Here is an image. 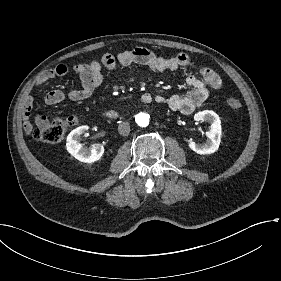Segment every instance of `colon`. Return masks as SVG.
<instances>
[{
	"label": "colon",
	"instance_id": "1",
	"mask_svg": "<svg viewBox=\"0 0 281 281\" xmlns=\"http://www.w3.org/2000/svg\"><path fill=\"white\" fill-rule=\"evenodd\" d=\"M226 104L232 109H238L241 106V102L237 98H227ZM68 124V118L58 117L42 125L26 124V131L38 141L53 144L64 138L69 127Z\"/></svg>",
	"mask_w": 281,
	"mask_h": 281
}]
</instances>
